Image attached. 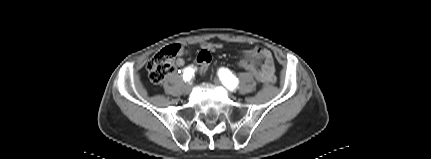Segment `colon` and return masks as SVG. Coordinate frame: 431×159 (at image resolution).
<instances>
[{
  "mask_svg": "<svg viewBox=\"0 0 431 159\" xmlns=\"http://www.w3.org/2000/svg\"><path fill=\"white\" fill-rule=\"evenodd\" d=\"M183 53L185 55L191 54V49L183 48ZM180 53V47L178 45H172L166 47L156 53L147 64V71L150 80L155 83H161L166 75L173 70L174 67V59ZM212 63V56L208 52H198L196 55V64L198 67V77L199 79H204L209 74L208 66ZM236 66L242 67V70H249L253 73L254 78L257 81V84H262V80L260 79V75H258V70L254 69L253 66H250L243 62L236 63Z\"/></svg>",
  "mask_w": 431,
  "mask_h": 159,
  "instance_id": "obj_1",
  "label": "colon"
}]
</instances>
